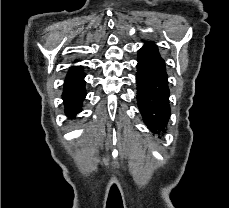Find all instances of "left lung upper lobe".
Instances as JSON below:
<instances>
[{"label":"left lung upper lobe","mask_w":229,"mask_h":208,"mask_svg":"<svg viewBox=\"0 0 229 208\" xmlns=\"http://www.w3.org/2000/svg\"><path fill=\"white\" fill-rule=\"evenodd\" d=\"M138 60L146 62L156 76L167 81L165 61L159 55L158 48L153 42H148L139 50Z\"/></svg>","instance_id":"5c2ea615"}]
</instances>
